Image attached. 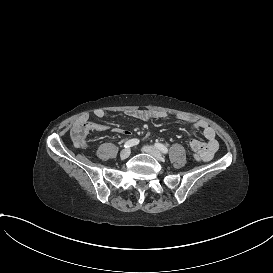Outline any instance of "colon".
I'll return each mask as SVG.
<instances>
[{
    "label": "colon",
    "instance_id": "colon-1",
    "mask_svg": "<svg viewBox=\"0 0 273 273\" xmlns=\"http://www.w3.org/2000/svg\"><path fill=\"white\" fill-rule=\"evenodd\" d=\"M92 134L93 126L88 124L84 118H77L71 123L70 136L79 148H84L88 144L87 136H91ZM188 146L192 150L199 152L206 150V145L202 142H197L195 139H190Z\"/></svg>",
    "mask_w": 273,
    "mask_h": 273
}]
</instances>
